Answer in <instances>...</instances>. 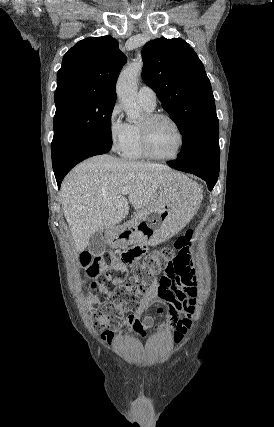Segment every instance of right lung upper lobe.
<instances>
[{
    "label": "right lung upper lobe",
    "mask_w": 274,
    "mask_h": 427,
    "mask_svg": "<svg viewBox=\"0 0 274 427\" xmlns=\"http://www.w3.org/2000/svg\"><path fill=\"white\" fill-rule=\"evenodd\" d=\"M125 63L126 56L112 36L79 41L63 57L55 104L90 96L116 97V81Z\"/></svg>",
    "instance_id": "right-lung-upper-lobe-1"
}]
</instances>
